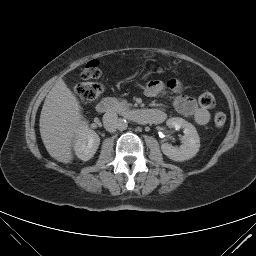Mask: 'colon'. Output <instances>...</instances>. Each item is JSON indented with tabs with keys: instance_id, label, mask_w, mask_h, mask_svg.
Segmentation results:
<instances>
[{
	"instance_id": "1",
	"label": "colon",
	"mask_w": 256,
	"mask_h": 256,
	"mask_svg": "<svg viewBox=\"0 0 256 256\" xmlns=\"http://www.w3.org/2000/svg\"><path fill=\"white\" fill-rule=\"evenodd\" d=\"M101 74L97 60H91L86 64L81 75L83 81L75 86V93L83 103H91L101 95L103 86L94 81L99 79ZM198 102L203 108H213L216 100L211 92H203L199 95ZM213 120L214 124L221 128L225 125L226 115L221 111L215 112Z\"/></svg>"
}]
</instances>
